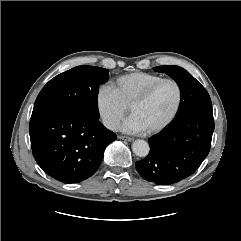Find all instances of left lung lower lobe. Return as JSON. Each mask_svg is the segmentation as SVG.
Returning a JSON list of instances; mask_svg holds the SVG:
<instances>
[{"instance_id":"left-lung-lower-lobe-1","label":"left lung lower lobe","mask_w":241,"mask_h":241,"mask_svg":"<svg viewBox=\"0 0 241 241\" xmlns=\"http://www.w3.org/2000/svg\"><path fill=\"white\" fill-rule=\"evenodd\" d=\"M213 131L212 109L171 122L148 139L150 153L136 162L138 173L149 182L163 185L187 178L208 155Z\"/></svg>"}]
</instances>
